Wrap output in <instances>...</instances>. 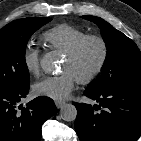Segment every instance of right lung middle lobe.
Masks as SVG:
<instances>
[{
    "instance_id": "right-lung-middle-lobe-1",
    "label": "right lung middle lobe",
    "mask_w": 141,
    "mask_h": 141,
    "mask_svg": "<svg viewBox=\"0 0 141 141\" xmlns=\"http://www.w3.org/2000/svg\"><path fill=\"white\" fill-rule=\"evenodd\" d=\"M50 18H23L0 30V91L18 90L29 85L25 48L31 35Z\"/></svg>"
}]
</instances>
